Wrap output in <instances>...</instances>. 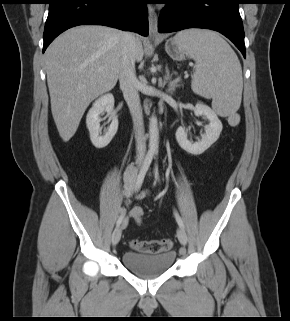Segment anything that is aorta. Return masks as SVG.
Wrapping results in <instances>:
<instances>
[{"label":"aorta","mask_w":290,"mask_h":321,"mask_svg":"<svg viewBox=\"0 0 290 321\" xmlns=\"http://www.w3.org/2000/svg\"><path fill=\"white\" fill-rule=\"evenodd\" d=\"M159 128L157 118L152 116L149 119V144L151 150L158 149Z\"/></svg>","instance_id":"1"}]
</instances>
